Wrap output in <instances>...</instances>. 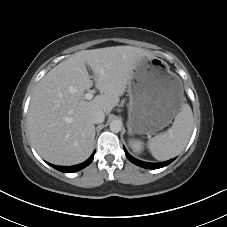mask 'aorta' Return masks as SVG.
I'll return each instance as SVG.
<instances>
[{
	"mask_svg": "<svg viewBox=\"0 0 227 227\" xmlns=\"http://www.w3.org/2000/svg\"><path fill=\"white\" fill-rule=\"evenodd\" d=\"M110 130L114 133H118L122 129V123L119 120H114L110 123Z\"/></svg>",
	"mask_w": 227,
	"mask_h": 227,
	"instance_id": "1",
	"label": "aorta"
}]
</instances>
